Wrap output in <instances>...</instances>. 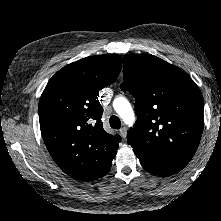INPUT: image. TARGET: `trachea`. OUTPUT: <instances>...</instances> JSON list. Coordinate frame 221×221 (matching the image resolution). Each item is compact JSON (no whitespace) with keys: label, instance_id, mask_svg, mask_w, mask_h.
I'll use <instances>...</instances> for the list:
<instances>
[{"label":"trachea","instance_id":"3493384b","mask_svg":"<svg viewBox=\"0 0 221 221\" xmlns=\"http://www.w3.org/2000/svg\"><path fill=\"white\" fill-rule=\"evenodd\" d=\"M110 126L113 129H120L121 127V121L119 119V117L113 115L110 117Z\"/></svg>","mask_w":221,"mask_h":221}]
</instances>
